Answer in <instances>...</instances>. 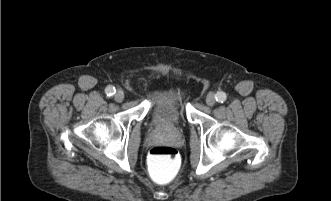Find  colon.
Listing matches in <instances>:
<instances>
[{
	"instance_id": "1",
	"label": "colon",
	"mask_w": 331,
	"mask_h": 201,
	"mask_svg": "<svg viewBox=\"0 0 331 201\" xmlns=\"http://www.w3.org/2000/svg\"><path fill=\"white\" fill-rule=\"evenodd\" d=\"M147 168L151 179L158 184H167L177 178L181 169L178 151L170 146L153 147L148 155Z\"/></svg>"
}]
</instances>
